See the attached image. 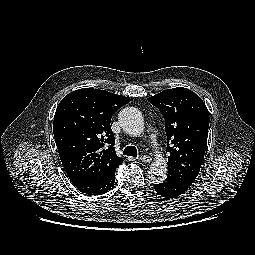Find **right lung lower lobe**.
<instances>
[{
	"instance_id": "1",
	"label": "right lung lower lobe",
	"mask_w": 255,
	"mask_h": 255,
	"mask_svg": "<svg viewBox=\"0 0 255 255\" xmlns=\"http://www.w3.org/2000/svg\"><path fill=\"white\" fill-rule=\"evenodd\" d=\"M115 181V173L98 180L87 183H73L78 190L87 195H101L107 192L113 186Z\"/></svg>"
}]
</instances>
